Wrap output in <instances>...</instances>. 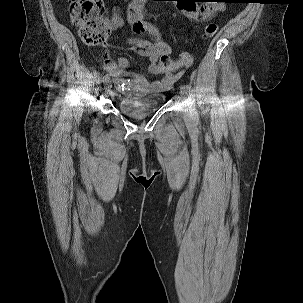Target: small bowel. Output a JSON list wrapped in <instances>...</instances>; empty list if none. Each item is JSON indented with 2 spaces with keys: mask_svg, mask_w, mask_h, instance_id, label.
Returning <instances> with one entry per match:
<instances>
[{
  "mask_svg": "<svg viewBox=\"0 0 303 303\" xmlns=\"http://www.w3.org/2000/svg\"><path fill=\"white\" fill-rule=\"evenodd\" d=\"M146 0H132L127 8V19L131 26L132 35L129 42L133 49L150 61L149 72L159 74L158 80L148 81L144 76L129 71L130 61L126 56L112 59L108 49H104L101 59L102 67L113 78L120 90L131 86L138 93H148L168 90L175 82L177 76L173 69L162 68L158 64L160 56L170 52L169 46L161 40L157 28L144 19V5ZM207 3L199 4L196 1L187 0L180 5L185 16L191 21H207L224 9L222 0H209ZM209 2V3H208ZM110 28L117 29L123 25V17L118 8L115 9L111 19ZM147 33L151 38L142 39L139 36Z\"/></svg>",
  "mask_w": 303,
  "mask_h": 303,
  "instance_id": "small-bowel-1",
  "label": "small bowel"
}]
</instances>
